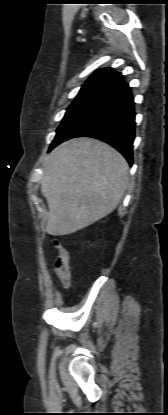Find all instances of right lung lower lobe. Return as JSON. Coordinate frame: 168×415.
<instances>
[{
  "label": "right lung lower lobe",
  "instance_id": "right-lung-lower-lobe-1",
  "mask_svg": "<svg viewBox=\"0 0 168 415\" xmlns=\"http://www.w3.org/2000/svg\"><path fill=\"white\" fill-rule=\"evenodd\" d=\"M75 137H92L117 149L133 164L135 138L134 99L122 79L81 108L57 132L49 151Z\"/></svg>",
  "mask_w": 168,
  "mask_h": 415
}]
</instances>
